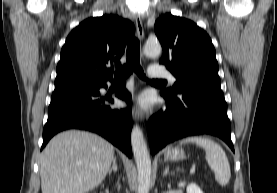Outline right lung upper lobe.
<instances>
[{
	"instance_id": "obj_1",
	"label": "right lung upper lobe",
	"mask_w": 277,
	"mask_h": 193,
	"mask_svg": "<svg viewBox=\"0 0 277 193\" xmlns=\"http://www.w3.org/2000/svg\"><path fill=\"white\" fill-rule=\"evenodd\" d=\"M135 27L127 19L106 14L88 18L71 31L61 50L55 90L95 87L112 79Z\"/></svg>"
}]
</instances>
